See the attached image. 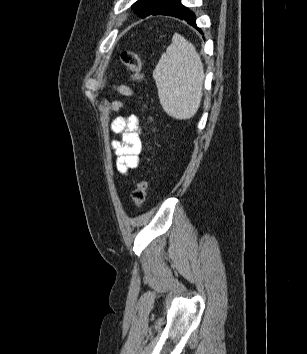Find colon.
Returning <instances> with one entry per match:
<instances>
[{
	"label": "colon",
	"mask_w": 307,
	"mask_h": 354,
	"mask_svg": "<svg viewBox=\"0 0 307 354\" xmlns=\"http://www.w3.org/2000/svg\"><path fill=\"white\" fill-rule=\"evenodd\" d=\"M121 60L122 63L130 70L131 80L136 84H140L141 81L143 80V73H142V63L138 53L130 50L124 51L121 55ZM142 107L143 109H146L147 105L144 103ZM146 124L149 133L152 134L155 131V129L153 127V118L150 115L146 116ZM149 170L150 168L147 167L145 169V173H148ZM147 187H148V182L145 177H143L142 179L136 182L134 191L132 193V198L136 206H142L144 204L147 196Z\"/></svg>",
	"instance_id": "obj_1"
}]
</instances>
